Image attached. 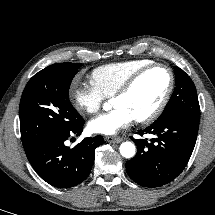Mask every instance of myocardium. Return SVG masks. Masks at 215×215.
<instances>
[{
    "label": "myocardium",
    "instance_id": "myocardium-1",
    "mask_svg": "<svg viewBox=\"0 0 215 215\" xmlns=\"http://www.w3.org/2000/svg\"><path fill=\"white\" fill-rule=\"evenodd\" d=\"M156 68H163L165 69L168 74H169V85L168 88L162 98V100L160 101V103L157 105V107L150 112L149 114H147L146 116L140 117V118H136L135 121L139 124H149L151 122H153L154 120H156L161 114L162 112L165 110L171 95L173 93L174 87H175V75L173 70L166 64L163 63H152L142 69H140L139 71H137L135 74H133L122 86L121 88L115 93L114 95V99L120 96H124L126 94H128L133 88L134 86L137 84V82L148 72L152 71L153 69Z\"/></svg>",
    "mask_w": 215,
    "mask_h": 215
}]
</instances>
